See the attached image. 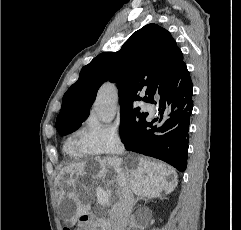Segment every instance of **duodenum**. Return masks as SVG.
<instances>
[{
  "mask_svg": "<svg viewBox=\"0 0 241 230\" xmlns=\"http://www.w3.org/2000/svg\"><path fill=\"white\" fill-rule=\"evenodd\" d=\"M94 220V217L92 215H89L87 213L83 214L80 218V223L83 226L89 225Z\"/></svg>",
  "mask_w": 241,
  "mask_h": 230,
  "instance_id": "410a0bca",
  "label": "duodenum"
}]
</instances>
